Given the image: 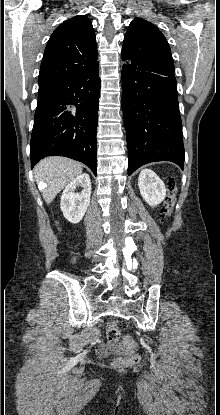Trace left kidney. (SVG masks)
Returning a JSON list of instances; mask_svg holds the SVG:
<instances>
[{
	"instance_id": "1",
	"label": "left kidney",
	"mask_w": 220,
	"mask_h": 415,
	"mask_svg": "<svg viewBox=\"0 0 220 415\" xmlns=\"http://www.w3.org/2000/svg\"><path fill=\"white\" fill-rule=\"evenodd\" d=\"M138 186L141 196L150 206H156L165 199V184L157 174L150 169H143L140 172Z\"/></svg>"
}]
</instances>
